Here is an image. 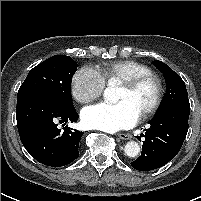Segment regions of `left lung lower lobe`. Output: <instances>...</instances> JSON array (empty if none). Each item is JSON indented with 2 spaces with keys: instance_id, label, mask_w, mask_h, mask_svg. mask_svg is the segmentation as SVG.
Listing matches in <instances>:
<instances>
[{
  "instance_id": "0a47b994",
  "label": "left lung lower lobe",
  "mask_w": 201,
  "mask_h": 201,
  "mask_svg": "<svg viewBox=\"0 0 201 201\" xmlns=\"http://www.w3.org/2000/svg\"><path fill=\"white\" fill-rule=\"evenodd\" d=\"M190 104H174L158 111L142 136V154L131 165L140 171L154 170L171 161L179 152L188 131Z\"/></svg>"
}]
</instances>
